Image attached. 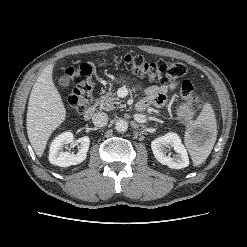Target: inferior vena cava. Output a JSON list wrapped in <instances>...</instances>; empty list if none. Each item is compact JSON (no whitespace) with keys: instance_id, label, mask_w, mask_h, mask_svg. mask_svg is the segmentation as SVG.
<instances>
[{"instance_id":"obj_1","label":"inferior vena cava","mask_w":247,"mask_h":247,"mask_svg":"<svg viewBox=\"0 0 247 247\" xmlns=\"http://www.w3.org/2000/svg\"><path fill=\"white\" fill-rule=\"evenodd\" d=\"M92 122L95 126L103 127L108 122V115L103 112L95 113L94 116L92 117Z\"/></svg>"}]
</instances>
